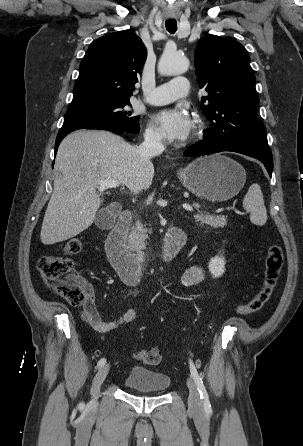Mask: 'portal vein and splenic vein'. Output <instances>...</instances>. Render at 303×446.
I'll list each match as a JSON object with an SVG mask.
<instances>
[{
    "mask_svg": "<svg viewBox=\"0 0 303 446\" xmlns=\"http://www.w3.org/2000/svg\"><path fill=\"white\" fill-rule=\"evenodd\" d=\"M98 183H99L98 191L100 192L108 188H117L120 185L119 182L115 180H101ZM183 208L187 211H193L192 206L187 203L183 204Z\"/></svg>",
    "mask_w": 303,
    "mask_h": 446,
    "instance_id": "18ae733b",
    "label": "portal vein and splenic vein"
}]
</instances>
